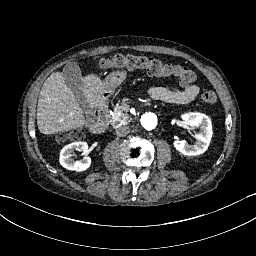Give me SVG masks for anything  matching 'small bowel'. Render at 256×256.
Instances as JSON below:
<instances>
[{"label":"small bowel","mask_w":256,"mask_h":256,"mask_svg":"<svg viewBox=\"0 0 256 256\" xmlns=\"http://www.w3.org/2000/svg\"><path fill=\"white\" fill-rule=\"evenodd\" d=\"M183 89L173 90L165 87H151L148 91L150 97L173 104H187L192 102L199 94L195 84L182 83Z\"/></svg>","instance_id":"1"}]
</instances>
